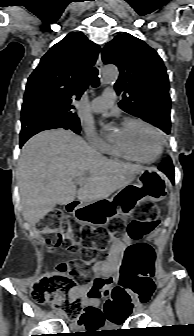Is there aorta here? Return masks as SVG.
I'll list each match as a JSON object with an SVG mask.
<instances>
[{
  "label": "aorta",
  "instance_id": "762f6f07",
  "mask_svg": "<svg viewBox=\"0 0 194 336\" xmlns=\"http://www.w3.org/2000/svg\"><path fill=\"white\" fill-rule=\"evenodd\" d=\"M101 82L104 84H110L117 80L118 78V69L114 65H107L102 69Z\"/></svg>",
  "mask_w": 194,
  "mask_h": 336
}]
</instances>
